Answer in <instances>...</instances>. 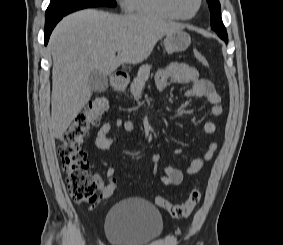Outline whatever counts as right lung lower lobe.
<instances>
[{
    "label": "right lung lower lobe",
    "mask_w": 283,
    "mask_h": 245,
    "mask_svg": "<svg viewBox=\"0 0 283 245\" xmlns=\"http://www.w3.org/2000/svg\"><path fill=\"white\" fill-rule=\"evenodd\" d=\"M63 17H58L49 21H45V45L47 44L50 34L56 24L62 19Z\"/></svg>",
    "instance_id": "obj_1"
}]
</instances>
